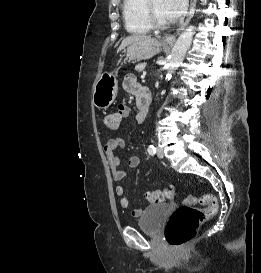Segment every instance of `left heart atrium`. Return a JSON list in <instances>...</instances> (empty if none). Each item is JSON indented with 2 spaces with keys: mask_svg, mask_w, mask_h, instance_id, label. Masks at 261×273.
I'll return each instance as SVG.
<instances>
[{
  "mask_svg": "<svg viewBox=\"0 0 261 273\" xmlns=\"http://www.w3.org/2000/svg\"><path fill=\"white\" fill-rule=\"evenodd\" d=\"M164 11L169 22L180 19L187 8V0H163Z\"/></svg>",
  "mask_w": 261,
  "mask_h": 273,
  "instance_id": "left-heart-atrium-1",
  "label": "left heart atrium"
}]
</instances>
